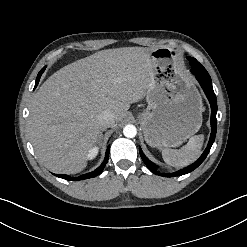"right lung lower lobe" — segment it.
<instances>
[{
    "label": "right lung lower lobe",
    "instance_id": "right-lung-lower-lobe-1",
    "mask_svg": "<svg viewBox=\"0 0 247 247\" xmlns=\"http://www.w3.org/2000/svg\"><path fill=\"white\" fill-rule=\"evenodd\" d=\"M45 68H46V66L39 72V74L36 78V84H35L34 88H36V86L38 85L40 77H41L42 73L44 72ZM108 158H109V146L107 147L106 156H105L103 163L96 170L89 172L87 174H84V175H80L78 177H71V176L64 175V174H57L56 176L59 178L65 179V180H72V181H75V180L79 181V180H84V179H88V178H93V177L98 176L102 173L106 163L108 162Z\"/></svg>",
    "mask_w": 247,
    "mask_h": 247
}]
</instances>
